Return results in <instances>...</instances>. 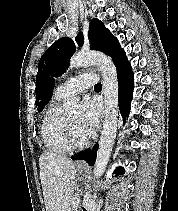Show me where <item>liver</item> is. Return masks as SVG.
Listing matches in <instances>:
<instances>
[{"mask_svg": "<svg viewBox=\"0 0 178 211\" xmlns=\"http://www.w3.org/2000/svg\"><path fill=\"white\" fill-rule=\"evenodd\" d=\"M39 166L46 211H68L76 183L74 162L45 152L39 157Z\"/></svg>", "mask_w": 178, "mask_h": 211, "instance_id": "1", "label": "liver"}]
</instances>
